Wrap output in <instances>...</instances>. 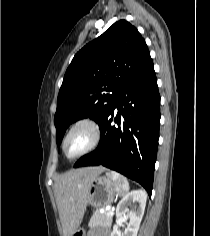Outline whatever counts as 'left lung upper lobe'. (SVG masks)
Segmentation results:
<instances>
[{
	"label": "left lung upper lobe",
	"instance_id": "left-lung-upper-lobe-1",
	"mask_svg": "<svg viewBox=\"0 0 210 236\" xmlns=\"http://www.w3.org/2000/svg\"><path fill=\"white\" fill-rule=\"evenodd\" d=\"M151 60L145 40L125 20L85 45L59 91L54 117L58 147L72 122L90 117L100 126L122 88Z\"/></svg>",
	"mask_w": 210,
	"mask_h": 236
}]
</instances>
